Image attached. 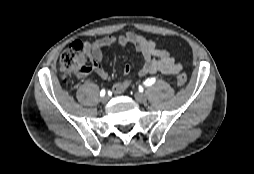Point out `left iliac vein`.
<instances>
[{"label":"left iliac vein","mask_w":254,"mask_h":174,"mask_svg":"<svg viewBox=\"0 0 254 174\" xmlns=\"http://www.w3.org/2000/svg\"><path fill=\"white\" fill-rule=\"evenodd\" d=\"M136 101L140 103H145L147 101V96L144 93L138 92L134 95Z\"/></svg>","instance_id":"left-iliac-vein-1"}]
</instances>
